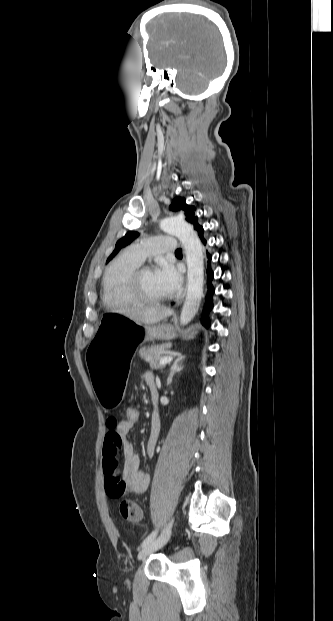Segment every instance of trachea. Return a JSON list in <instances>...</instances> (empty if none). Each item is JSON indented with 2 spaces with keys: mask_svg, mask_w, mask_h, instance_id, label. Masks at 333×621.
<instances>
[{
  "mask_svg": "<svg viewBox=\"0 0 333 621\" xmlns=\"http://www.w3.org/2000/svg\"><path fill=\"white\" fill-rule=\"evenodd\" d=\"M175 253H176V254H180V253H182V249H181V248L177 249V250L175 251Z\"/></svg>",
  "mask_w": 333,
  "mask_h": 621,
  "instance_id": "3493384b",
  "label": "trachea"
}]
</instances>
